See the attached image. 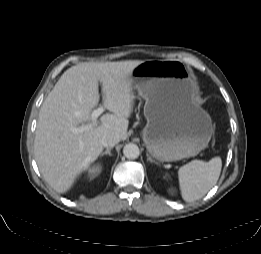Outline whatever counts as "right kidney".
Segmentation results:
<instances>
[{
  "label": "right kidney",
  "instance_id": "right-kidney-1",
  "mask_svg": "<svg viewBox=\"0 0 261 254\" xmlns=\"http://www.w3.org/2000/svg\"><path fill=\"white\" fill-rule=\"evenodd\" d=\"M101 171H102V166L101 165H97V166L92 167L91 169H89V176H90V178H94Z\"/></svg>",
  "mask_w": 261,
  "mask_h": 254
}]
</instances>
